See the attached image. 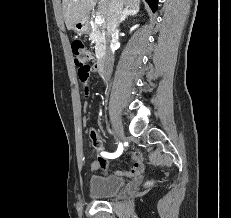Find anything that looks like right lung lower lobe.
<instances>
[{
    "label": "right lung lower lobe",
    "mask_w": 231,
    "mask_h": 218,
    "mask_svg": "<svg viewBox=\"0 0 231 218\" xmlns=\"http://www.w3.org/2000/svg\"><path fill=\"white\" fill-rule=\"evenodd\" d=\"M157 1L158 0H146V2L149 4V6L153 10V12H155L157 9Z\"/></svg>",
    "instance_id": "1"
}]
</instances>
